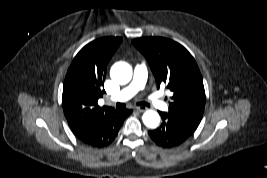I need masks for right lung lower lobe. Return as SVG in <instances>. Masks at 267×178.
Segmentation results:
<instances>
[{
	"instance_id": "1",
	"label": "right lung lower lobe",
	"mask_w": 267,
	"mask_h": 178,
	"mask_svg": "<svg viewBox=\"0 0 267 178\" xmlns=\"http://www.w3.org/2000/svg\"><path fill=\"white\" fill-rule=\"evenodd\" d=\"M132 110L121 108L103 117L85 122L76 131L75 136L85 145L93 148H104L110 145Z\"/></svg>"
}]
</instances>
